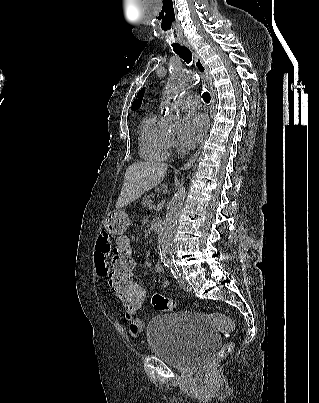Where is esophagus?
Instances as JSON below:
<instances>
[{"label":"esophagus","instance_id":"esophagus-1","mask_svg":"<svg viewBox=\"0 0 319 403\" xmlns=\"http://www.w3.org/2000/svg\"><path fill=\"white\" fill-rule=\"evenodd\" d=\"M182 43L192 52L195 68L201 74V76L205 79V81L207 83V86L210 91V96H211L209 112H210V118H212L214 104H215V94H214V88H213V80L210 75L209 68L205 65L201 56L197 53L195 48L189 42L183 41ZM202 144L199 147V149L195 152V154L188 160V162L181 167L182 170H188L193 166V164L195 163L196 159L198 158V156L200 154Z\"/></svg>","mask_w":319,"mask_h":403}]
</instances>
